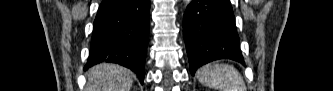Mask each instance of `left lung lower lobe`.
Listing matches in <instances>:
<instances>
[{
  "mask_svg": "<svg viewBox=\"0 0 333 91\" xmlns=\"http://www.w3.org/2000/svg\"><path fill=\"white\" fill-rule=\"evenodd\" d=\"M191 74L219 59L244 63L230 0H194L183 19Z\"/></svg>",
  "mask_w": 333,
  "mask_h": 91,
  "instance_id": "0a47b994",
  "label": "left lung lower lobe"
}]
</instances>
